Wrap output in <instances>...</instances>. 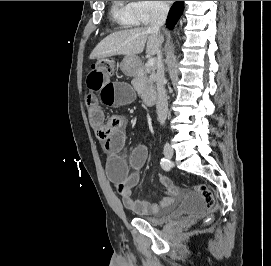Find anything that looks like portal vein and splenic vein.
I'll return each instance as SVG.
<instances>
[{
	"label": "portal vein and splenic vein",
	"mask_w": 271,
	"mask_h": 266,
	"mask_svg": "<svg viewBox=\"0 0 271 266\" xmlns=\"http://www.w3.org/2000/svg\"><path fill=\"white\" fill-rule=\"evenodd\" d=\"M154 64H155V59L154 58H150L149 60H148V62H147V65L148 66H154Z\"/></svg>",
	"instance_id": "1"
}]
</instances>
